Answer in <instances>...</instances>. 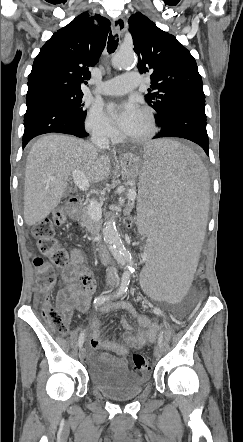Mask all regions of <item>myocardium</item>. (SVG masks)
<instances>
[{
  "instance_id": "myocardium-1",
  "label": "myocardium",
  "mask_w": 243,
  "mask_h": 442,
  "mask_svg": "<svg viewBox=\"0 0 243 442\" xmlns=\"http://www.w3.org/2000/svg\"><path fill=\"white\" fill-rule=\"evenodd\" d=\"M141 111L144 112L148 116L149 123H150V130L146 134L139 136V137L125 136L124 139L128 142L144 143V142L150 140L151 138H153L158 130L157 119H156L153 109L145 106L141 109Z\"/></svg>"
}]
</instances>
